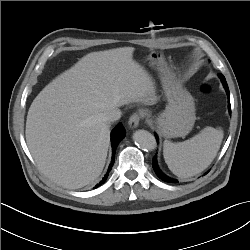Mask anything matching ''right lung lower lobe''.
Segmentation results:
<instances>
[{"label": "right lung lower lobe", "instance_id": "98d812e1", "mask_svg": "<svg viewBox=\"0 0 250 250\" xmlns=\"http://www.w3.org/2000/svg\"><path fill=\"white\" fill-rule=\"evenodd\" d=\"M124 136H125V129H124L123 125L121 123H119L111 132V143H112V148H113V156H112L111 164L108 168L106 175L104 176L102 181L95 186V188L99 187L101 184H103L106 181V179L109 175V172L112 169V166L114 164L115 151H116L117 145L123 139Z\"/></svg>", "mask_w": 250, "mask_h": 250}]
</instances>
